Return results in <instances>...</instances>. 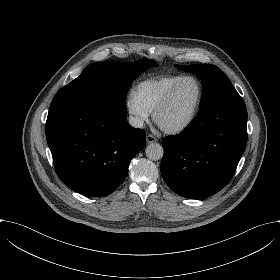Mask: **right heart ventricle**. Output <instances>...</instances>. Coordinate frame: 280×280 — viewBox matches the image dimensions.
Here are the masks:
<instances>
[{
    "mask_svg": "<svg viewBox=\"0 0 280 280\" xmlns=\"http://www.w3.org/2000/svg\"><path fill=\"white\" fill-rule=\"evenodd\" d=\"M184 77L181 74L163 75L144 79L133 90L139 103L149 112L162 103L168 92Z\"/></svg>",
    "mask_w": 280,
    "mask_h": 280,
    "instance_id": "obj_1",
    "label": "right heart ventricle"
}]
</instances>
